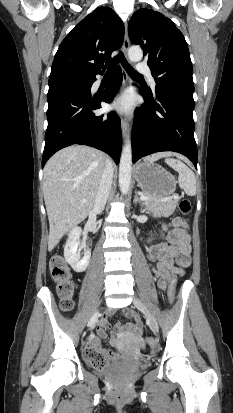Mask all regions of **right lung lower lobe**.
<instances>
[{
	"label": "right lung lower lobe",
	"instance_id": "right-lung-lower-lobe-1",
	"mask_svg": "<svg viewBox=\"0 0 233 413\" xmlns=\"http://www.w3.org/2000/svg\"><path fill=\"white\" fill-rule=\"evenodd\" d=\"M94 81L96 78L92 75L49 83L42 168L55 152L72 144L103 150L119 163L122 147L120 118L115 112L95 115L93 111L101 108L102 101H112L122 82L121 68L117 67L113 81L100 96H91Z\"/></svg>",
	"mask_w": 233,
	"mask_h": 413
}]
</instances>
